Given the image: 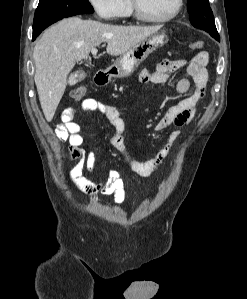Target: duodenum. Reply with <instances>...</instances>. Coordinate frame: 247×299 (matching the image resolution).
<instances>
[{"label":"duodenum","instance_id":"1","mask_svg":"<svg viewBox=\"0 0 247 299\" xmlns=\"http://www.w3.org/2000/svg\"><path fill=\"white\" fill-rule=\"evenodd\" d=\"M111 73H112V68H106V69L98 72L96 77H95V82L98 85L105 84L108 81Z\"/></svg>","mask_w":247,"mask_h":299}]
</instances>
